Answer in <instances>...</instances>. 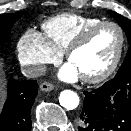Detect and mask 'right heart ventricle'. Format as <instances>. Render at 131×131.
Masks as SVG:
<instances>
[{"mask_svg":"<svg viewBox=\"0 0 131 131\" xmlns=\"http://www.w3.org/2000/svg\"><path fill=\"white\" fill-rule=\"evenodd\" d=\"M102 21L97 17L76 13H63L42 24L44 37L60 53L87 27Z\"/></svg>","mask_w":131,"mask_h":131,"instance_id":"1","label":"right heart ventricle"}]
</instances>
